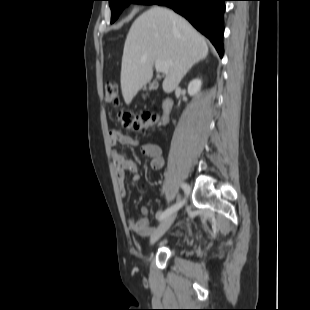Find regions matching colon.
I'll return each instance as SVG.
<instances>
[{"label":"colon","mask_w":310,"mask_h":310,"mask_svg":"<svg viewBox=\"0 0 310 310\" xmlns=\"http://www.w3.org/2000/svg\"><path fill=\"white\" fill-rule=\"evenodd\" d=\"M104 99L109 105L119 106L118 88L114 83L106 82L104 84ZM157 120L158 114L155 112H143L140 114L119 112L117 114V121L124 129L137 133L146 131L149 127L153 126Z\"/></svg>","instance_id":"1"}]
</instances>
